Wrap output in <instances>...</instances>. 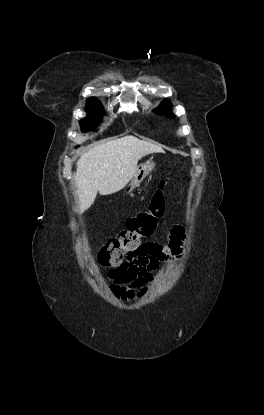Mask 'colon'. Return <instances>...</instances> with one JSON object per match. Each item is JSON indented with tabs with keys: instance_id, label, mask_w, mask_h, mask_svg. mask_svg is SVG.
<instances>
[{
	"instance_id": "1",
	"label": "colon",
	"mask_w": 264,
	"mask_h": 415,
	"mask_svg": "<svg viewBox=\"0 0 264 415\" xmlns=\"http://www.w3.org/2000/svg\"><path fill=\"white\" fill-rule=\"evenodd\" d=\"M165 182L161 181L146 211L132 217L118 235L107 240L98 256L102 268L123 269L160 228L165 211Z\"/></svg>"
}]
</instances>
